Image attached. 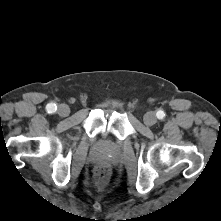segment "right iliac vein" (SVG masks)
I'll return each instance as SVG.
<instances>
[{
	"instance_id": "63e3f726",
	"label": "right iliac vein",
	"mask_w": 221,
	"mask_h": 221,
	"mask_svg": "<svg viewBox=\"0 0 221 221\" xmlns=\"http://www.w3.org/2000/svg\"><path fill=\"white\" fill-rule=\"evenodd\" d=\"M70 113V109L66 104H61L58 107V114L61 117H67Z\"/></svg>"
}]
</instances>
